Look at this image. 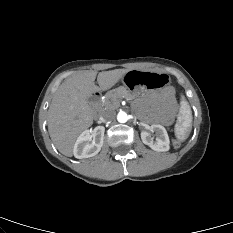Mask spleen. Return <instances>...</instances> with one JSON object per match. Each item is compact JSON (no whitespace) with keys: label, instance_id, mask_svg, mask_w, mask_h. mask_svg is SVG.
Returning <instances> with one entry per match:
<instances>
[{"label":"spleen","instance_id":"1","mask_svg":"<svg viewBox=\"0 0 233 233\" xmlns=\"http://www.w3.org/2000/svg\"><path fill=\"white\" fill-rule=\"evenodd\" d=\"M192 125V112L188 102L182 98L180 102V110L177 123L175 126V134L178 139L185 140Z\"/></svg>","mask_w":233,"mask_h":233}]
</instances>
